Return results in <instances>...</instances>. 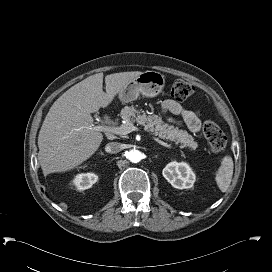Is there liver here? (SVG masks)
<instances>
[{
  "instance_id": "1",
  "label": "liver",
  "mask_w": 272,
  "mask_h": 272,
  "mask_svg": "<svg viewBox=\"0 0 272 272\" xmlns=\"http://www.w3.org/2000/svg\"><path fill=\"white\" fill-rule=\"evenodd\" d=\"M142 72H121L105 77L94 74L75 84L51 106L38 136V160L44 175L65 172L90 158L103 134L94 129L91 116L107 107L114 97Z\"/></svg>"
}]
</instances>
